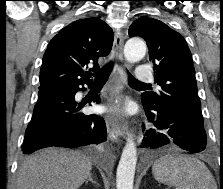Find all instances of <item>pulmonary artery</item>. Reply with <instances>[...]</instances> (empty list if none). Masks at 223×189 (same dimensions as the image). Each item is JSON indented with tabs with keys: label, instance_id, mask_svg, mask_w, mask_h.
Wrapping results in <instances>:
<instances>
[{
	"label": "pulmonary artery",
	"instance_id": "1",
	"mask_svg": "<svg viewBox=\"0 0 223 189\" xmlns=\"http://www.w3.org/2000/svg\"><path fill=\"white\" fill-rule=\"evenodd\" d=\"M153 78L151 70L144 66L140 65L135 72V79L140 82H149Z\"/></svg>",
	"mask_w": 223,
	"mask_h": 189
}]
</instances>
